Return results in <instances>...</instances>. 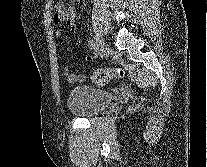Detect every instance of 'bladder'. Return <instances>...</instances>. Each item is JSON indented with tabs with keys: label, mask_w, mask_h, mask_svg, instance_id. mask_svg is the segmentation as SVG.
Instances as JSON below:
<instances>
[{
	"label": "bladder",
	"mask_w": 207,
	"mask_h": 167,
	"mask_svg": "<svg viewBox=\"0 0 207 167\" xmlns=\"http://www.w3.org/2000/svg\"><path fill=\"white\" fill-rule=\"evenodd\" d=\"M114 101V95L107 90L86 85L73 87L67 97L69 110L78 116L95 115Z\"/></svg>",
	"instance_id": "1"
}]
</instances>
